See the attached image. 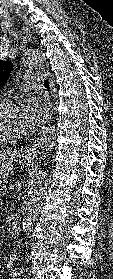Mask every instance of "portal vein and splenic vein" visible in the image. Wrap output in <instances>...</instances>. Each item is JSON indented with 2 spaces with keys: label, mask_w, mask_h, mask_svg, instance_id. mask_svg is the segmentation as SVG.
I'll return each mask as SVG.
<instances>
[{
  "label": "portal vein and splenic vein",
  "mask_w": 113,
  "mask_h": 279,
  "mask_svg": "<svg viewBox=\"0 0 113 279\" xmlns=\"http://www.w3.org/2000/svg\"><path fill=\"white\" fill-rule=\"evenodd\" d=\"M13 188H14V186L10 187V189H13Z\"/></svg>",
  "instance_id": "portal-vein-and-splenic-vein-1"
}]
</instances>
